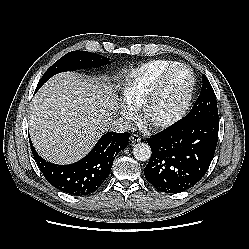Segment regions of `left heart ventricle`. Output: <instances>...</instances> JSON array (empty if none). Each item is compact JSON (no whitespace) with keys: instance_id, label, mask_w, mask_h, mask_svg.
Returning a JSON list of instances; mask_svg holds the SVG:
<instances>
[{"instance_id":"b2bd125f","label":"left heart ventricle","mask_w":249,"mask_h":249,"mask_svg":"<svg viewBox=\"0 0 249 249\" xmlns=\"http://www.w3.org/2000/svg\"><path fill=\"white\" fill-rule=\"evenodd\" d=\"M190 84V73L186 69L178 70L169 79L163 96L153 111L155 118L171 114L180 104Z\"/></svg>"}]
</instances>
